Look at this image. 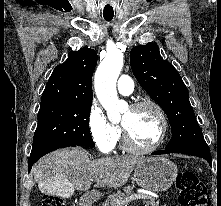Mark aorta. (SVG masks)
Wrapping results in <instances>:
<instances>
[{
  "label": "aorta",
  "instance_id": "762f6f07",
  "mask_svg": "<svg viewBox=\"0 0 221 206\" xmlns=\"http://www.w3.org/2000/svg\"><path fill=\"white\" fill-rule=\"evenodd\" d=\"M122 67L123 54L114 51L107 54L95 73V92L110 121L119 120L121 112L127 108V104L119 100L116 90Z\"/></svg>",
  "mask_w": 221,
  "mask_h": 206
}]
</instances>
